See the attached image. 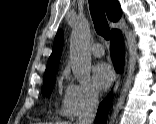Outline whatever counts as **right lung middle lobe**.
<instances>
[{"mask_svg":"<svg viewBox=\"0 0 156 124\" xmlns=\"http://www.w3.org/2000/svg\"><path fill=\"white\" fill-rule=\"evenodd\" d=\"M55 75L44 77V84L42 87V95L49 96L55 84Z\"/></svg>","mask_w":156,"mask_h":124,"instance_id":"obj_1","label":"right lung middle lobe"}]
</instances>
